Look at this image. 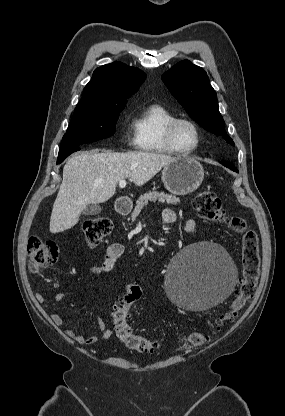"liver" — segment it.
I'll return each instance as SVG.
<instances>
[{
    "mask_svg": "<svg viewBox=\"0 0 285 416\" xmlns=\"http://www.w3.org/2000/svg\"><path fill=\"white\" fill-rule=\"evenodd\" d=\"M98 152H79L66 162L50 218L51 234L76 226L88 204H103L110 200L120 180L129 178L135 186H144L164 166L176 160L161 152Z\"/></svg>",
    "mask_w": 285,
    "mask_h": 416,
    "instance_id": "liver-1",
    "label": "liver"
}]
</instances>
